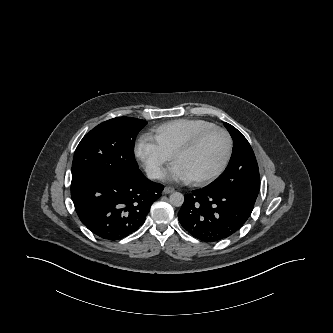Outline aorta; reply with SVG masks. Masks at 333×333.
Here are the masks:
<instances>
[{"instance_id": "aorta-1", "label": "aorta", "mask_w": 333, "mask_h": 333, "mask_svg": "<svg viewBox=\"0 0 333 333\" xmlns=\"http://www.w3.org/2000/svg\"><path fill=\"white\" fill-rule=\"evenodd\" d=\"M169 202L175 207H180L184 202V196L180 192H174L170 195Z\"/></svg>"}]
</instances>
